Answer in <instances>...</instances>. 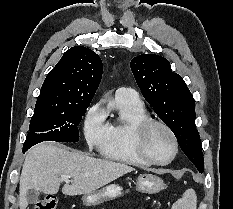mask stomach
<instances>
[{"label":"stomach","instance_id":"stomach-1","mask_svg":"<svg viewBox=\"0 0 233 209\" xmlns=\"http://www.w3.org/2000/svg\"><path fill=\"white\" fill-rule=\"evenodd\" d=\"M163 187L164 182L157 175L144 173L140 174L137 178L136 189L142 193L154 194L162 190ZM122 190V187L118 184H111L101 190L84 194L82 201L85 206H97L120 197L123 194Z\"/></svg>","mask_w":233,"mask_h":209}]
</instances>
